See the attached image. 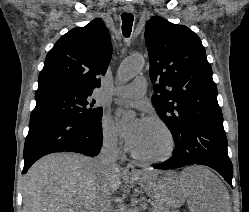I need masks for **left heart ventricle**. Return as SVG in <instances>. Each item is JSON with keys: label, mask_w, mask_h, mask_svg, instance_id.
<instances>
[{"label": "left heart ventricle", "mask_w": 249, "mask_h": 212, "mask_svg": "<svg viewBox=\"0 0 249 212\" xmlns=\"http://www.w3.org/2000/svg\"><path fill=\"white\" fill-rule=\"evenodd\" d=\"M169 149V139L160 126L144 121L139 144L134 151L144 157L162 156Z\"/></svg>", "instance_id": "1"}]
</instances>
